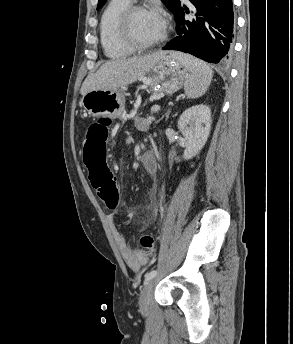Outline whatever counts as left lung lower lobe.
<instances>
[{
    "label": "left lung lower lobe",
    "mask_w": 293,
    "mask_h": 344,
    "mask_svg": "<svg viewBox=\"0 0 293 344\" xmlns=\"http://www.w3.org/2000/svg\"><path fill=\"white\" fill-rule=\"evenodd\" d=\"M194 16L184 19L180 2L173 11L177 37L162 49L192 54L210 63H227L233 52L234 14L232 0H190Z\"/></svg>",
    "instance_id": "left-lung-lower-lobe-1"
}]
</instances>
